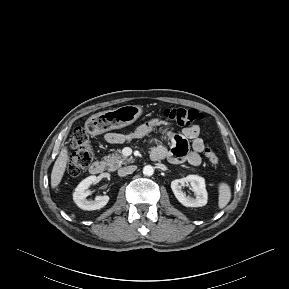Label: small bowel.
I'll return each instance as SVG.
<instances>
[{
  "instance_id": "small-bowel-1",
  "label": "small bowel",
  "mask_w": 289,
  "mask_h": 289,
  "mask_svg": "<svg viewBox=\"0 0 289 289\" xmlns=\"http://www.w3.org/2000/svg\"><path fill=\"white\" fill-rule=\"evenodd\" d=\"M163 125L160 120H148L139 125L127 134L109 133L106 140L109 143H121L125 140H138L150 135L157 126ZM165 134L171 141V148H167L162 143H156L152 150V154L160 156V159L167 157L169 162L177 164L183 161L189 162L191 165L197 166L201 163V153L205 149V142L200 138V128L193 125L184 128L181 134H175L165 130ZM188 140H191V150L189 149Z\"/></svg>"
}]
</instances>
